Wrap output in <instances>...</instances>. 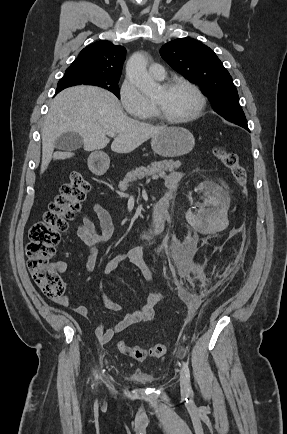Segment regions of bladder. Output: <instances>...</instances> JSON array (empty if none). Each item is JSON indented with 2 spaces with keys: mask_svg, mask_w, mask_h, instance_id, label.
<instances>
[{
  "mask_svg": "<svg viewBox=\"0 0 287 434\" xmlns=\"http://www.w3.org/2000/svg\"><path fill=\"white\" fill-rule=\"evenodd\" d=\"M127 378L138 385H150L155 381V378L152 375L141 371H133L127 376Z\"/></svg>",
  "mask_w": 287,
  "mask_h": 434,
  "instance_id": "bladder-1",
  "label": "bladder"
}]
</instances>
